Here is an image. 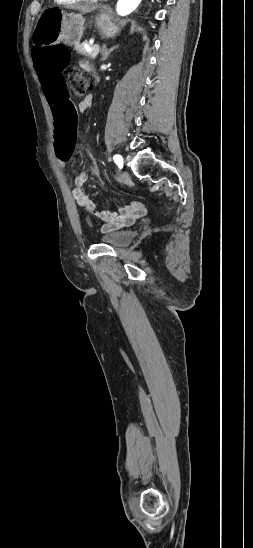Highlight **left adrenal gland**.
Here are the masks:
<instances>
[{"instance_id": "obj_1", "label": "left adrenal gland", "mask_w": 253, "mask_h": 548, "mask_svg": "<svg viewBox=\"0 0 253 548\" xmlns=\"http://www.w3.org/2000/svg\"><path fill=\"white\" fill-rule=\"evenodd\" d=\"M116 48H118V45H117V46H114V47H112V48H110V49H107L106 44L103 45V46H102V49H101V54H102L101 61H105V60L108 58V56L110 55V53H111L114 49H116Z\"/></svg>"}]
</instances>
